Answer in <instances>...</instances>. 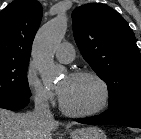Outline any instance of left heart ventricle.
<instances>
[{"instance_id":"obj_1","label":"left heart ventricle","mask_w":141,"mask_h":139,"mask_svg":"<svg viewBox=\"0 0 141 139\" xmlns=\"http://www.w3.org/2000/svg\"><path fill=\"white\" fill-rule=\"evenodd\" d=\"M57 89L64 104L71 110L88 111L97 107L102 100L100 85L92 78L65 76Z\"/></svg>"}]
</instances>
